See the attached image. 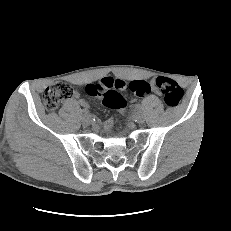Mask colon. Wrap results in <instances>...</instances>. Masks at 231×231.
<instances>
[{
    "label": "colon",
    "instance_id": "colon-1",
    "mask_svg": "<svg viewBox=\"0 0 231 231\" xmlns=\"http://www.w3.org/2000/svg\"><path fill=\"white\" fill-rule=\"evenodd\" d=\"M155 85L164 97L167 106H177L182 97L183 90L173 80L167 77H158ZM85 91L92 96H101L103 103L118 111H123L126 107V101L121 92H131L136 96H144L150 91V84L143 80L124 82L104 78L100 81L85 86ZM74 90L66 82H55L51 84L43 93V102L49 111H54L63 101L74 95Z\"/></svg>",
    "mask_w": 231,
    "mask_h": 231
}]
</instances>
